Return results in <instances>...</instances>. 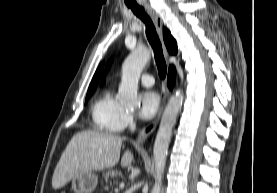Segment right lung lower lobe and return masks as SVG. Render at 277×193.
<instances>
[{
  "mask_svg": "<svg viewBox=\"0 0 277 193\" xmlns=\"http://www.w3.org/2000/svg\"><path fill=\"white\" fill-rule=\"evenodd\" d=\"M174 82H175V68L172 66L169 68V73H168V87L170 89H172Z\"/></svg>",
  "mask_w": 277,
  "mask_h": 193,
  "instance_id": "1",
  "label": "right lung lower lobe"
}]
</instances>
